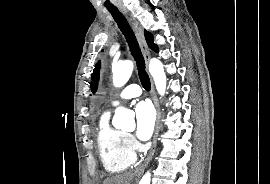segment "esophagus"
<instances>
[{"label":"esophagus","instance_id":"1","mask_svg":"<svg viewBox=\"0 0 270 184\" xmlns=\"http://www.w3.org/2000/svg\"><path fill=\"white\" fill-rule=\"evenodd\" d=\"M121 12L123 13V15L126 17L128 22L132 26V28L137 36V39L139 41L142 53H143L144 58H145L146 65H148L149 60H150V51H149V48L147 46L142 27L140 26L139 22L128 12V10L121 9ZM151 96H152V100H153V103H154V106L156 109V113H157L155 130H154V135H153V143H152V147L150 149V152H149L147 158L145 159L143 164L139 168H137L136 172L143 171L145 169V167L148 165V163L150 162V160L152 159L154 152H155V149H156L157 137H158L159 129H160L161 113H160V108H159L157 96L155 93L154 83H153L152 79H151Z\"/></svg>","mask_w":270,"mask_h":184}]
</instances>
